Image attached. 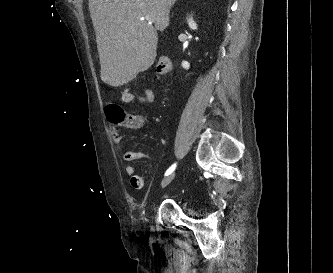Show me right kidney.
Listing matches in <instances>:
<instances>
[{
    "mask_svg": "<svg viewBox=\"0 0 333 273\" xmlns=\"http://www.w3.org/2000/svg\"><path fill=\"white\" fill-rule=\"evenodd\" d=\"M188 25L193 30L197 29V24L194 22V20L192 18L188 19ZM182 67L184 69H189L190 64L187 61H183L182 62Z\"/></svg>",
    "mask_w": 333,
    "mask_h": 273,
    "instance_id": "obj_1",
    "label": "right kidney"
}]
</instances>
